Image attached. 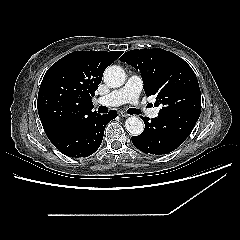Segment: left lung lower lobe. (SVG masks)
<instances>
[{
    "label": "left lung lower lobe",
    "instance_id": "0a47b994",
    "mask_svg": "<svg viewBox=\"0 0 240 240\" xmlns=\"http://www.w3.org/2000/svg\"><path fill=\"white\" fill-rule=\"evenodd\" d=\"M199 116L196 112H182L158 114L151 121L143 117L145 129L139 136H132V142L146 154L170 153L190 135Z\"/></svg>",
    "mask_w": 240,
    "mask_h": 240
}]
</instances>
